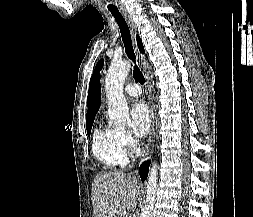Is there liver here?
Segmentation results:
<instances>
[{
    "instance_id": "1",
    "label": "liver",
    "mask_w": 253,
    "mask_h": 217,
    "mask_svg": "<svg viewBox=\"0 0 253 217\" xmlns=\"http://www.w3.org/2000/svg\"><path fill=\"white\" fill-rule=\"evenodd\" d=\"M140 186L136 178L123 172L98 174L92 184V204L95 217H122L137 205Z\"/></svg>"
}]
</instances>
